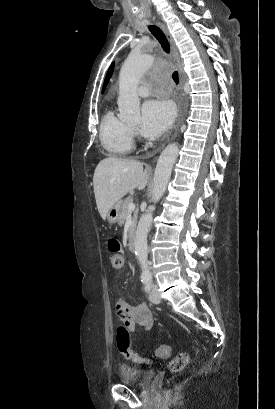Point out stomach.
Returning <instances> with one entry per match:
<instances>
[{
  "label": "stomach",
  "instance_id": "obj_1",
  "mask_svg": "<svg viewBox=\"0 0 275 409\" xmlns=\"http://www.w3.org/2000/svg\"><path fill=\"white\" fill-rule=\"evenodd\" d=\"M121 211L122 200H117V202H115V205H112L111 209H109L107 213V221L109 225H114V223H118Z\"/></svg>",
  "mask_w": 275,
  "mask_h": 409
}]
</instances>
